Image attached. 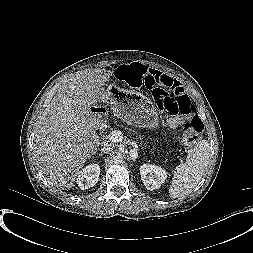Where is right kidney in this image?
I'll list each match as a JSON object with an SVG mask.
<instances>
[{"mask_svg": "<svg viewBox=\"0 0 253 253\" xmlns=\"http://www.w3.org/2000/svg\"><path fill=\"white\" fill-rule=\"evenodd\" d=\"M100 175V167L98 164H90L79 171L77 175V184L82 189L93 187L97 182Z\"/></svg>", "mask_w": 253, "mask_h": 253, "instance_id": "obj_1", "label": "right kidney"}]
</instances>
